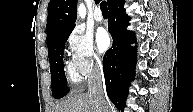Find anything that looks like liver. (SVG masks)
<instances>
[{
	"instance_id": "6515ba94",
	"label": "liver",
	"mask_w": 193,
	"mask_h": 112,
	"mask_svg": "<svg viewBox=\"0 0 193 112\" xmlns=\"http://www.w3.org/2000/svg\"><path fill=\"white\" fill-rule=\"evenodd\" d=\"M53 112H100V106L94 96L83 93L57 102Z\"/></svg>"
}]
</instances>
